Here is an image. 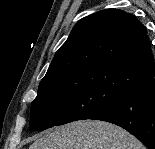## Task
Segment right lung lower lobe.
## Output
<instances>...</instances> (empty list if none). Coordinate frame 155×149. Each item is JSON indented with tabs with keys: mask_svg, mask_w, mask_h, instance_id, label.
Here are the masks:
<instances>
[{
	"mask_svg": "<svg viewBox=\"0 0 155 149\" xmlns=\"http://www.w3.org/2000/svg\"><path fill=\"white\" fill-rule=\"evenodd\" d=\"M89 119L116 124L155 149V77L132 88Z\"/></svg>",
	"mask_w": 155,
	"mask_h": 149,
	"instance_id": "98d812e1",
	"label": "right lung lower lobe"
}]
</instances>
